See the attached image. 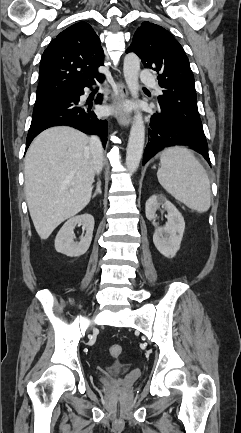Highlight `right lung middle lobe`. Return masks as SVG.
Wrapping results in <instances>:
<instances>
[{"label":"right lung middle lobe","mask_w":241,"mask_h":433,"mask_svg":"<svg viewBox=\"0 0 241 433\" xmlns=\"http://www.w3.org/2000/svg\"><path fill=\"white\" fill-rule=\"evenodd\" d=\"M65 97V92H59V93H52V94H45L41 96L36 97L35 106L33 109V113H36L47 106L62 100Z\"/></svg>","instance_id":"dd1d6c3e"}]
</instances>
